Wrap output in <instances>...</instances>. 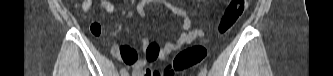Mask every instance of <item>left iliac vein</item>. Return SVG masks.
Masks as SVG:
<instances>
[{
	"mask_svg": "<svg viewBox=\"0 0 333 76\" xmlns=\"http://www.w3.org/2000/svg\"><path fill=\"white\" fill-rule=\"evenodd\" d=\"M199 76H205V75L201 73Z\"/></svg>",
	"mask_w": 333,
	"mask_h": 76,
	"instance_id": "1",
	"label": "left iliac vein"
}]
</instances>
